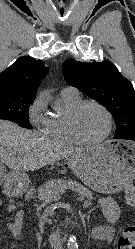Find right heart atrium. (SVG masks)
<instances>
[{
  "label": "right heart atrium",
  "instance_id": "1",
  "mask_svg": "<svg viewBox=\"0 0 135 249\" xmlns=\"http://www.w3.org/2000/svg\"><path fill=\"white\" fill-rule=\"evenodd\" d=\"M44 107V98L39 95L28 109L29 120L39 131H45L48 123V118L43 114Z\"/></svg>",
  "mask_w": 135,
  "mask_h": 249
}]
</instances>
